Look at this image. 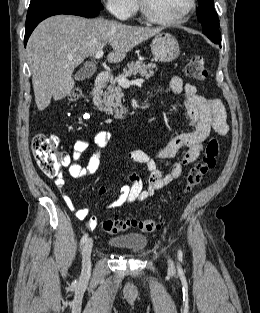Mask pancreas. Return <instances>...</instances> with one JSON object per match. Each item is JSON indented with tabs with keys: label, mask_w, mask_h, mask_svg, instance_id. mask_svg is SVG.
<instances>
[{
	"label": "pancreas",
	"mask_w": 260,
	"mask_h": 313,
	"mask_svg": "<svg viewBox=\"0 0 260 313\" xmlns=\"http://www.w3.org/2000/svg\"><path fill=\"white\" fill-rule=\"evenodd\" d=\"M156 68L155 64L151 63L147 65L142 61L127 64L123 73L115 79H112L106 90L98 95L99 100L96 105L99 110H103L112 116L114 115L116 119H123L127 110L122 104L123 93L121 86L117 84L118 79L122 77L127 78L136 74L150 78L154 75V69Z\"/></svg>",
	"instance_id": "pancreas-1"
}]
</instances>
